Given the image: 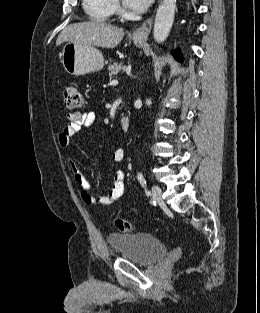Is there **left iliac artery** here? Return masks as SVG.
<instances>
[{"label":"left iliac artery","instance_id":"1","mask_svg":"<svg viewBox=\"0 0 260 313\" xmlns=\"http://www.w3.org/2000/svg\"><path fill=\"white\" fill-rule=\"evenodd\" d=\"M137 178H138L139 182L141 183L142 187H144L146 195L150 196L151 192L147 189L146 180H145L143 174L142 173H138L137 174Z\"/></svg>","mask_w":260,"mask_h":313}]
</instances>
